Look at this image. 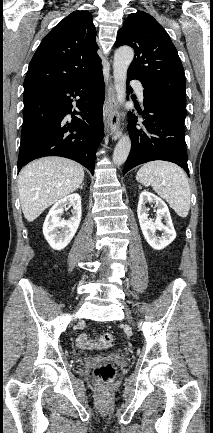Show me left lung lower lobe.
<instances>
[{
    "label": "left lung lower lobe",
    "instance_id": "left-lung-lower-lobe-1",
    "mask_svg": "<svg viewBox=\"0 0 213 433\" xmlns=\"http://www.w3.org/2000/svg\"><path fill=\"white\" fill-rule=\"evenodd\" d=\"M136 79L128 75V80ZM128 93L132 92L128 86ZM144 110L137 109L145 121L137 124V117L129 113L128 130L131 151L123 175L133 167L154 160L176 163L189 175L185 144L184 121L186 109L171 101L149 95L145 90Z\"/></svg>",
    "mask_w": 213,
    "mask_h": 433
}]
</instances>
